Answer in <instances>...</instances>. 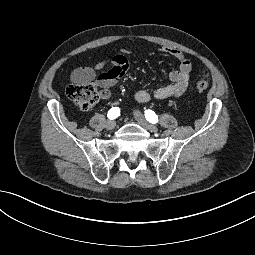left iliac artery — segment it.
<instances>
[{
    "mask_svg": "<svg viewBox=\"0 0 255 255\" xmlns=\"http://www.w3.org/2000/svg\"><path fill=\"white\" fill-rule=\"evenodd\" d=\"M145 117L147 119V121H149L150 123L154 124L158 122V116L156 115V113L150 109L145 110Z\"/></svg>",
    "mask_w": 255,
    "mask_h": 255,
    "instance_id": "obj_1",
    "label": "left iliac artery"
}]
</instances>
